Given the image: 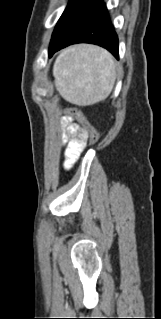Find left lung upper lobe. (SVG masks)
Returning a JSON list of instances; mask_svg holds the SVG:
<instances>
[{
	"mask_svg": "<svg viewBox=\"0 0 161 319\" xmlns=\"http://www.w3.org/2000/svg\"><path fill=\"white\" fill-rule=\"evenodd\" d=\"M101 2L102 0H70L55 26L50 45L63 38Z\"/></svg>",
	"mask_w": 161,
	"mask_h": 319,
	"instance_id": "5c2ea615",
	"label": "left lung upper lobe"
}]
</instances>
